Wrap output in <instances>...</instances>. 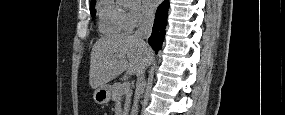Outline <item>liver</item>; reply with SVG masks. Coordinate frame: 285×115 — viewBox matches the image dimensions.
<instances>
[{
	"label": "liver",
	"instance_id": "1",
	"mask_svg": "<svg viewBox=\"0 0 285 115\" xmlns=\"http://www.w3.org/2000/svg\"><path fill=\"white\" fill-rule=\"evenodd\" d=\"M152 57V49L143 47L132 35L122 33L101 38L92 48L89 84L97 89L124 71L134 75L142 66H148Z\"/></svg>",
	"mask_w": 285,
	"mask_h": 115
}]
</instances>
